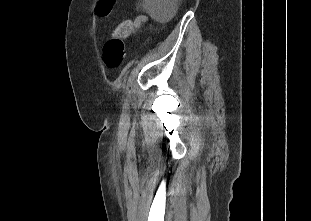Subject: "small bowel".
Here are the masks:
<instances>
[{
	"label": "small bowel",
	"mask_w": 311,
	"mask_h": 221,
	"mask_svg": "<svg viewBox=\"0 0 311 221\" xmlns=\"http://www.w3.org/2000/svg\"><path fill=\"white\" fill-rule=\"evenodd\" d=\"M146 21H147L146 16L141 15L136 17L135 20L133 21V28L139 29Z\"/></svg>",
	"instance_id": "1"
}]
</instances>
